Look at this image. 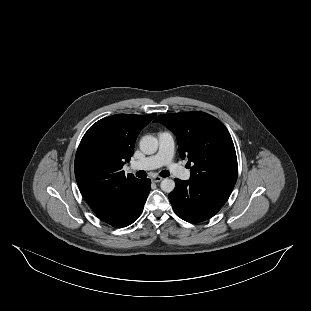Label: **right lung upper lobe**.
Masks as SVG:
<instances>
[{"label":"right lung upper lobe","mask_w":311,"mask_h":311,"mask_svg":"<svg viewBox=\"0 0 311 311\" xmlns=\"http://www.w3.org/2000/svg\"><path fill=\"white\" fill-rule=\"evenodd\" d=\"M156 114H116L93 124L75 156V177L82 196L94 212L119 198L139 179L125 176L123 165L133 155L139 132Z\"/></svg>","instance_id":"right-lung-upper-lobe-1"}]
</instances>
